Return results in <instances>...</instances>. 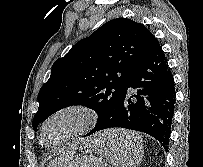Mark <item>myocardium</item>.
Here are the masks:
<instances>
[{"mask_svg": "<svg viewBox=\"0 0 203 167\" xmlns=\"http://www.w3.org/2000/svg\"><path fill=\"white\" fill-rule=\"evenodd\" d=\"M65 115H73L77 118L76 126L63 138L55 142H49L46 138L49 126L58 118ZM96 122L95 113L89 108L81 105L63 106L51 113L42 123L40 135L43 144L48 146H60L68 143L91 130Z\"/></svg>", "mask_w": 203, "mask_h": 167, "instance_id": "f54148a6", "label": "myocardium"}]
</instances>
